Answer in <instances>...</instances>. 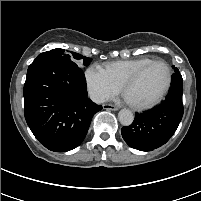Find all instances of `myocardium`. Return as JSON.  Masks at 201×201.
I'll list each match as a JSON object with an SVG mask.
<instances>
[{
  "instance_id": "myocardium-1",
  "label": "myocardium",
  "mask_w": 201,
  "mask_h": 201,
  "mask_svg": "<svg viewBox=\"0 0 201 201\" xmlns=\"http://www.w3.org/2000/svg\"><path fill=\"white\" fill-rule=\"evenodd\" d=\"M155 63H162L167 70V80L165 83V86L163 87L162 91L151 101L146 102V103H133L129 102V104L138 110H144V109H149L151 107H154L157 105L167 94L169 91L171 84H172V77H173V72L171 69V66L169 63L163 59H152L149 62L145 63L141 67H139L137 70H135L121 85V91L125 95L127 88L134 83L137 78L142 74V72L147 69L150 65L155 64Z\"/></svg>"
}]
</instances>
